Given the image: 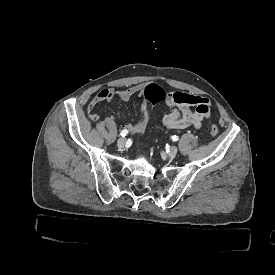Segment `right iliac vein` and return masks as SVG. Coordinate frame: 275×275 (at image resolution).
Here are the masks:
<instances>
[{"label": "right iliac vein", "instance_id": "obj_1", "mask_svg": "<svg viewBox=\"0 0 275 275\" xmlns=\"http://www.w3.org/2000/svg\"><path fill=\"white\" fill-rule=\"evenodd\" d=\"M125 146H126V138H124V137L119 138V139L117 140V147H118L119 149H122V148H124Z\"/></svg>", "mask_w": 275, "mask_h": 275}]
</instances>
